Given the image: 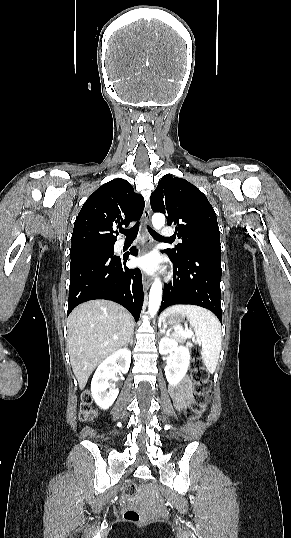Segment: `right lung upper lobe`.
Segmentation results:
<instances>
[{
	"instance_id": "obj_1",
	"label": "right lung upper lobe",
	"mask_w": 291,
	"mask_h": 538,
	"mask_svg": "<svg viewBox=\"0 0 291 538\" xmlns=\"http://www.w3.org/2000/svg\"><path fill=\"white\" fill-rule=\"evenodd\" d=\"M141 194L124 179H114L92 193L82 206L71 237V249L114 245L117 228L137 221L144 210Z\"/></svg>"
}]
</instances>
